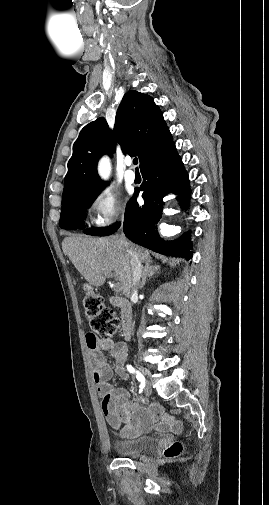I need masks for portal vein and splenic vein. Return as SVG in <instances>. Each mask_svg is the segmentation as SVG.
<instances>
[{
    "label": "portal vein and splenic vein",
    "instance_id": "18ae733b",
    "mask_svg": "<svg viewBox=\"0 0 269 505\" xmlns=\"http://www.w3.org/2000/svg\"><path fill=\"white\" fill-rule=\"evenodd\" d=\"M108 277H110V276H108ZM114 289L116 292H120L122 290L121 284H115Z\"/></svg>",
    "mask_w": 269,
    "mask_h": 505
}]
</instances>
